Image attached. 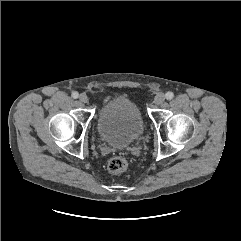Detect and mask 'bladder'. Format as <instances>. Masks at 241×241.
Wrapping results in <instances>:
<instances>
[{"label":"bladder","mask_w":241,"mask_h":241,"mask_svg":"<svg viewBox=\"0 0 241 241\" xmlns=\"http://www.w3.org/2000/svg\"><path fill=\"white\" fill-rule=\"evenodd\" d=\"M97 130L101 139L116 148L138 140L144 131L139 108L125 96H117L98 111Z\"/></svg>","instance_id":"bladder-1"}]
</instances>
